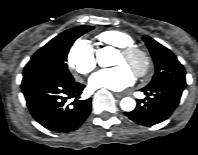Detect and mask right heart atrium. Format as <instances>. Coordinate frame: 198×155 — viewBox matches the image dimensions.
<instances>
[{"mask_svg": "<svg viewBox=\"0 0 198 155\" xmlns=\"http://www.w3.org/2000/svg\"><path fill=\"white\" fill-rule=\"evenodd\" d=\"M67 63L76 74L87 75L96 66L95 53L86 40H78L69 49Z\"/></svg>", "mask_w": 198, "mask_h": 155, "instance_id": "obj_1", "label": "right heart atrium"}]
</instances>
